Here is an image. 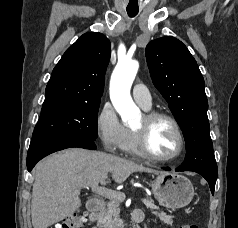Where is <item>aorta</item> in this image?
I'll return each mask as SVG.
<instances>
[{
  "instance_id": "1",
  "label": "aorta",
  "mask_w": 238,
  "mask_h": 228,
  "mask_svg": "<svg viewBox=\"0 0 238 228\" xmlns=\"http://www.w3.org/2000/svg\"><path fill=\"white\" fill-rule=\"evenodd\" d=\"M138 68L135 60H119L111 76L110 98L124 123H130L140 114L130 95Z\"/></svg>"
}]
</instances>
